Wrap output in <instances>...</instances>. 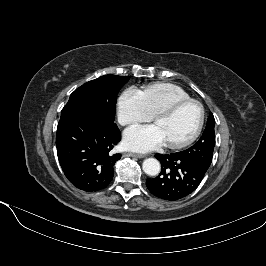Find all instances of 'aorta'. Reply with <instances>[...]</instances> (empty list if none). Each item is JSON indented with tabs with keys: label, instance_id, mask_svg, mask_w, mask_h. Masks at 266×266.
I'll return each instance as SVG.
<instances>
[{
	"label": "aorta",
	"instance_id": "aorta-1",
	"mask_svg": "<svg viewBox=\"0 0 266 266\" xmlns=\"http://www.w3.org/2000/svg\"><path fill=\"white\" fill-rule=\"evenodd\" d=\"M143 171L149 176H156L160 173V162L155 158H148L143 161Z\"/></svg>",
	"mask_w": 266,
	"mask_h": 266
}]
</instances>
